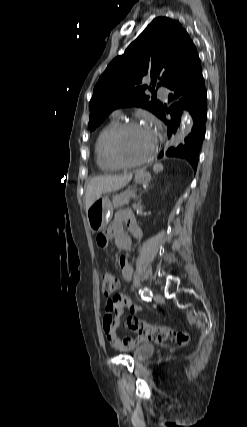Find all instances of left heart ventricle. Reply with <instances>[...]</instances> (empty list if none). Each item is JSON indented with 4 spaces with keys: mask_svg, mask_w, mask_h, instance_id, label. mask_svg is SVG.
<instances>
[{
    "mask_svg": "<svg viewBox=\"0 0 247 427\" xmlns=\"http://www.w3.org/2000/svg\"><path fill=\"white\" fill-rule=\"evenodd\" d=\"M155 138L145 127L127 130L119 141V152L126 160H137L143 157L151 148Z\"/></svg>",
    "mask_w": 247,
    "mask_h": 427,
    "instance_id": "obj_1",
    "label": "left heart ventricle"
}]
</instances>
